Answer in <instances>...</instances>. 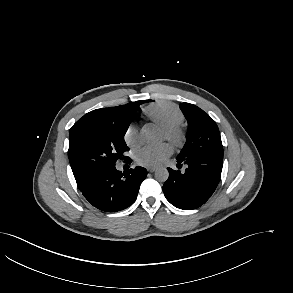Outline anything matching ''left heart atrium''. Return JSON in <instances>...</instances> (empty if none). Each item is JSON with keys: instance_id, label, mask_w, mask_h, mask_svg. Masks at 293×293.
I'll list each match as a JSON object with an SVG mask.
<instances>
[{"instance_id": "39dd6f15", "label": "left heart atrium", "mask_w": 293, "mask_h": 293, "mask_svg": "<svg viewBox=\"0 0 293 293\" xmlns=\"http://www.w3.org/2000/svg\"><path fill=\"white\" fill-rule=\"evenodd\" d=\"M172 154L169 144L158 146H145L137 151L135 160L138 164L147 167H155L164 162Z\"/></svg>"}]
</instances>
